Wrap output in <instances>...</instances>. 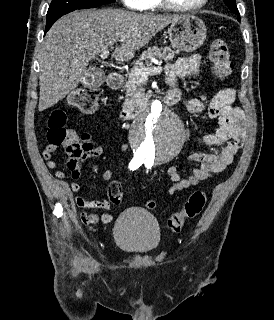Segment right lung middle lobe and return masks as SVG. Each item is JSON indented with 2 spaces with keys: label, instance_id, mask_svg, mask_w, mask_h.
<instances>
[{
  "label": "right lung middle lobe",
  "instance_id": "obj_1",
  "mask_svg": "<svg viewBox=\"0 0 274 320\" xmlns=\"http://www.w3.org/2000/svg\"><path fill=\"white\" fill-rule=\"evenodd\" d=\"M115 1L116 0H52L47 12V18L77 9L95 8Z\"/></svg>",
  "mask_w": 274,
  "mask_h": 320
}]
</instances>
